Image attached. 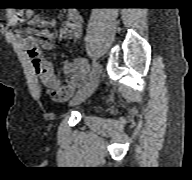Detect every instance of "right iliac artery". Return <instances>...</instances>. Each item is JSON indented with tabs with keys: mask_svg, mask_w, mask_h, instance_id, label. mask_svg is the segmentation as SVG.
Here are the masks:
<instances>
[{
	"mask_svg": "<svg viewBox=\"0 0 192 180\" xmlns=\"http://www.w3.org/2000/svg\"><path fill=\"white\" fill-rule=\"evenodd\" d=\"M97 69H98V65L95 61H93L91 72L89 74V80L95 75V73L97 72Z\"/></svg>",
	"mask_w": 192,
	"mask_h": 180,
	"instance_id": "1",
	"label": "right iliac artery"
}]
</instances>
